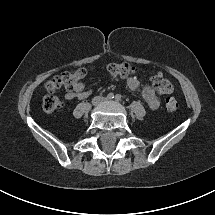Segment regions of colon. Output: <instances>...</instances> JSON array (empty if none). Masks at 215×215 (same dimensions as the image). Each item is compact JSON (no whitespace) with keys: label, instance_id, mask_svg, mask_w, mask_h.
Segmentation results:
<instances>
[{"label":"colon","instance_id":"5ec220e1","mask_svg":"<svg viewBox=\"0 0 215 215\" xmlns=\"http://www.w3.org/2000/svg\"><path fill=\"white\" fill-rule=\"evenodd\" d=\"M106 70L110 75L121 78L131 76L136 72L135 67L126 62L108 64ZM85 75V69L79 68L72 72H64L48 80L45 84L48 94L42 101L44 111L53 112L57 110L61 106V100L54 93L63 88L68 90L74 89L75 85L82 81ZM151 86L162 94H168L173 90L171 82L160 75L152 77ZM178 106V101L173 97H168L165 100V107L168 111H175L178 109Z\"/></svg>","mask_w":215,"mask_h":215}]
</instances>
